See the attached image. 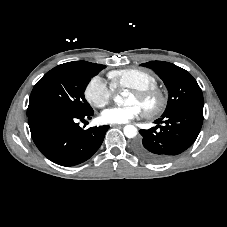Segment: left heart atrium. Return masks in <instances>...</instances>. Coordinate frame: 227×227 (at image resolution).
I'll return each instance as SVG.
<instances>
[{
    "label": "left heart atrium",
    "mask_w": 227,
    "mask_h": 227,
    "mask_svg": "<svg viewBox=\"0 0 227 227\" xmlns=\"http://www.w3.org/2000/svg\"><path fill=\"white\" fill-rule=\"evenodd\" d=\"M142 112L140 106L131 104L124 107H111L101 113V120L107 124H123L137 118Z\"/></svg>",
    "instance_id": "left-heart-atrium-1"
}]
</instances>
